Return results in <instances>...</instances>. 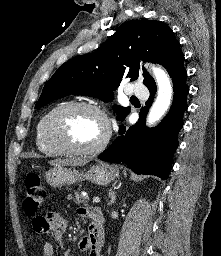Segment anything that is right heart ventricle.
Instances as JSON below:
<instances>
[{"mask_svg":"<svg viewBox=\"0 0 221 256\" xmlns=\"http://www.w3.org/2000/svg\"><path fill=\"white\" fill-rule=\"evenodd\" d=\"M54 108H52L51 110H49L46 114H44L41 119L39 120V122L37 123L36 126V131H35V144L37 149L48 156H58L63 154V152L61 150H59L58 148L51 146L50 144H48L43 136V126H44V121L45 118L47 117V115L53 110Z\"/></svg>","mask_w":221,"mask_h":256,"instance_id":"e07e8e85","label":"right heart ventricle"}]
</instances>
